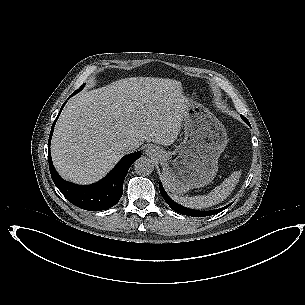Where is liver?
Returning a JSON list of instances; mask_svg holds the SVG:
<instances>
[{"mask_svg":"<svg viewBox=\"0 0 305 305\" xmlns=\"http://www.w3.org/2000/svg\"><path fill=\"white\" fill-rule=\"evenodd\" d=\"M138 78H125L82 92L63 109L51 141L53 164L62 178L78 184L102 179L128 152L127 141L169 146L176 140L182 109L156 110ZM162 89L178 94L181 83L164 80Z\"/></svg>","mask_w":305,"mask_h":305,"instance_id":"6515ba94","label":"liver"}]
</instances>
